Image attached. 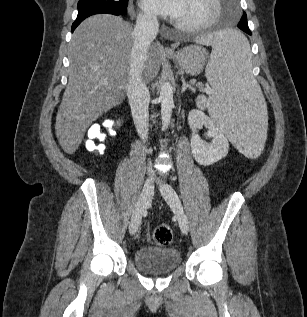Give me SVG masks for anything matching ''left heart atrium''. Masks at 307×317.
I'll return each mask as SVG.
<instances>
[{"label":"left heart atrium","mask_w":307,"mask_h":317,"mask_svg":"<svg viewBox=\"0 0 307 317\" xmlns=\"http://www.w3.org/2000/svg\"><path fill=\"white\" fill-rule=\"evenodd\" d=\"M186 0H140L141 7L158 16L177 17L181 14Z\"/></svg>","instance_id":"1"}]
</instances>
